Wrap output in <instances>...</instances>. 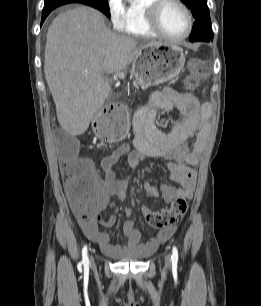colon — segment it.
<instances>
[{
    "label": "colon",
    "mask_w": 261,
    "mask_h": 306,
    "mask_svg": "<svg viewBox=\"0 0 261 306\" xmlns=\"http://www.w3.org/2000/svg\"><path fill=\"white\" fill-rule=\"evenodd\" d=\"M189 86H195L204 80L208 74L206 63L197 58H191L187 62ZM124 108L121 104H115L107 110V116L113 118V122L101 121V132L106 138L120 140L126 136V123L123 115ZM58 147L63 158L68 162L65 167L66 187L70 195L73 207L81 211L86 205H90L94 192L92 182L94 178L92 166L75 157L77 141L66 134H61ZM187 201L178 198L174 201L171 208L162 211H146L145 220L153 228L173 227L178 219L187 212Z\"/></svg>",
    "instance_id": "colon-1"
}]
</instances>
